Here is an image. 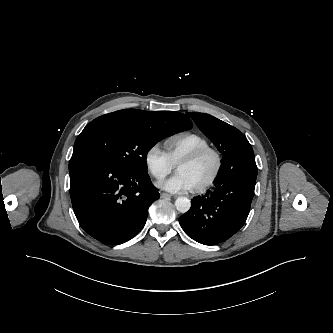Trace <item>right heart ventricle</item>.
I'll use <instances>...</instances> for the list:
<instances>
[{
	"label": "right heart ventricle",
	"instance_id": "e07e8e85",
	"mask_svg": "<svg viewBox=\"0 0 333 333\" xmlns=\"http://www.w3.org/2000/svg\"><path fill=\"white\" fill-rule=\"evenodd\" d=\"M166 154L173 164H177L191 152L208 147L209 142L201 135L193 132H181L167 138L164 142Z\"/></svg>",
	"mask_w": 333,
	"mask_h": 333
}]
</instances>
